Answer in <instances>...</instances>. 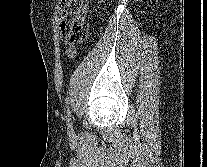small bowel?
<instances>
[{"mask_svg":"<svg viewBox=\"0 0 207 167\" xmlns=\"http://www.w3.org/2000/svg\"><path fill=\"white\" fill-rule=\"evenodd\" d=\"M68 53L71 57H73L75 55V50L73 48H69Z\"/></svg>","mask_w":207,"mask_h":167,"instance_id":"obj_1","label":"small bowel"}]
</instances>
